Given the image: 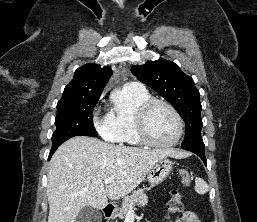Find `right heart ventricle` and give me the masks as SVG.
Masks as SVG:
<instances>
[{"label":"right heart ventricle","instance_id":"obj_1","mask_svg":"<svg viewBox=\"0 0 257 222\" xmlns=\"http://www.w3.org/2000/svg\"><path fill=\"white\" fill-rule=\"evenodd\" d=\"M146 89H134L125 86L114 99V105L109 112L115 134L114 142L127 146L143 145L136 130V115L140 106L150 99Z\"/></svg>","mask_w":257,"mask_h":222}]
</instances>
